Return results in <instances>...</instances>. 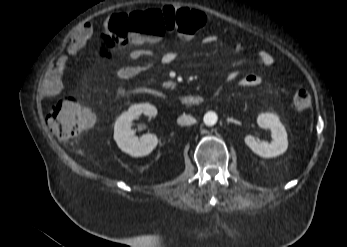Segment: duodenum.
I'll return each mask as SVG.
<instances>
[{
    "instance_id": "obj_1",
    "label": "duodenum",
    "mask_w": 347,
    "mask_h": 247,
    "mask_svg": "<svg viewBox=\"0 0 347 247\" xmlns=\"http://www.w3.org/2000/svg\"><path fill=\"white\" fill-rule=\"evenodd\" d=\"M139 93L151 95L158 98H165V95L162 92L157 90H151V91L139 92ZM203 101H204V98L201 95H197V94L186 95L179 98V102L184 106H198L202 104Z\"/></svg>"
}]
</instances>
